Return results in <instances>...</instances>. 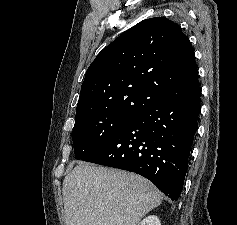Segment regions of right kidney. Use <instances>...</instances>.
Masks as SVG:
<instances>
[{
	"mask_svg": "<svg viewBox=\"0 0 237 225\" xmlns=\"http://www.w3.org/2000/svg\"><path fill=\"white\" fill-rule=\"evenodd\" d=\"M138 225H161L160 220L155 215L144 218Z\"/></svg>",
	"mask_w": 237,
	"mask_h": 225,
	"instance_id": "1",
	"label": "right kidney"
}]
</instances>
